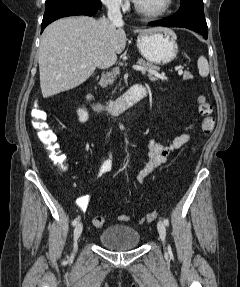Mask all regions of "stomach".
Here are the masks:
<instances>
[{
  "instance_id": "1",
  "label": "stomach",
  "mask_w": 240,
  "mask_h": 287,
  "mask_svg": "<svg viewBox=\"0 0 240 287\" xmlns=\"http://www.w3.org/2000/svg\"><path fill=\"white\" fill-rule=\"evenodd\" d=\"M176 35L171 29L142 32L137 37V48L149 62L165 65L176 58L178 46Z\"/></svg>"
}]
</instances>
